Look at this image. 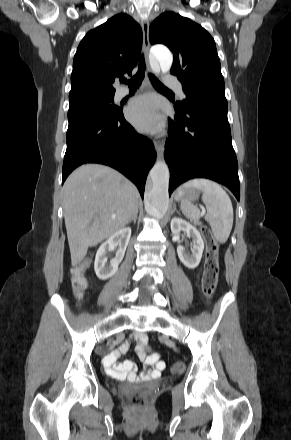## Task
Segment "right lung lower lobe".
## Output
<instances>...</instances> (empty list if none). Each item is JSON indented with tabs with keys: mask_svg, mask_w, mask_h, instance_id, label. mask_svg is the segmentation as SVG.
Wrapping results in <instances>:
<instances>
[{
	"mask_svg": "<svg viewBox=\"0 0 291 440\" xmlns=\"http://www.w3.org/2000/svg\"><path fill=\"white\" fill-rule=\"evenodd\" d=\"M68 121L62 184L79 165L100 163L123 173L138 187L143 198L156 153L153 143L126 122L122 108L117 113L73 109L68 111Z\"/></svg>",
	"mask_w": 291,
	"mask_h": 440,
	"instance_id": "right-lung-lower-lobe-1",
	"label": "right lung lower lobe"
}]
</instances>
